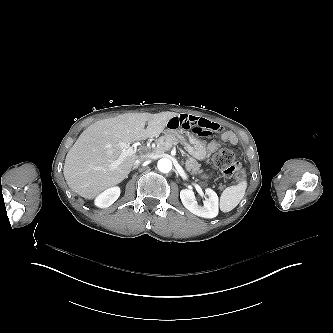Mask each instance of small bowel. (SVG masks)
Returning a JSON list of instances; mask_svg holds the SVG:
<instances>
[{
	"mask_svg": "<svg viewBox=\"0 0 333 333\" xmlns=\"http://www.w3.org/2000/svg\"><path fill=\"white\" fill-rule=\"evenodd\" d=\"M168 128L178 129V130H190L197 134L208 136H217L223 130V125L210 122L203 118L189 115V114H180L172 117L168 121ZM222 141L229 142L232 145L238 144V138L233 132H223L221 136ZM218 142H212L208 144L207 150L209 152H214L218 149Z\"/></svg>",
	"mask_w": 333,
	"mask_h": 333,
	"instance_id": "c3829d8e",
	"label": "small bowel"
}]
</instances>
